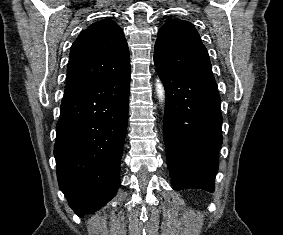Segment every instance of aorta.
<instances>
[{
  "mask_svg": "<svg viewBox=\"0 0 283 235\" xmlns=\"http://www.w3.org/2000/svg\"><path fill=\"white\" fill-rule=\"evenodd\" d=\"M156 93H157V96L159 98V101L161 103H164V101H165V90H164L162 82L159 79H157V81H156Z\"/></svg>",
  "mask_w": 283,
  "mask_h": 235,
  "instance_id": "obj_1",
  "label": "aorta"
}]
</instances>
